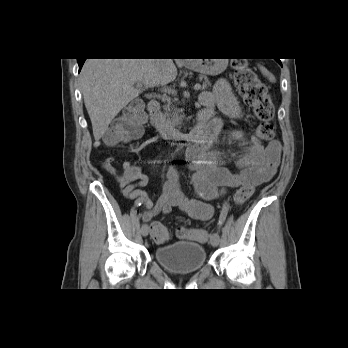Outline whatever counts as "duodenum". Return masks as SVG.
<instances>
[{
    "label": "duodenum",
    "instance_id": "410a0bca",
    "mask_svg": "<svg viewBox=\"0 0 348 348\" xmlns=\"http://www.w3.org/2000/svg\"><path fill=\"white\" fill-rule=\"evenodd\" d=\"M147 109L151 125L166 139L187 142L194 147H206L214 137V133L210 127V119L213 111L212 108L204 107V109L199 113L198 124L187 132L176 130L164 121L158 100L151 99L148 103Z\"/></svg>",
    "mask_w": 348,
    "mask_h": 348
}]
</instances>
